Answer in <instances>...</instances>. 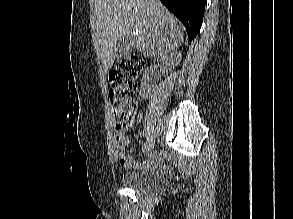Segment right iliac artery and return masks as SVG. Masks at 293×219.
<instances>
[{"label":"right iliac artery","instance_id":"1","mask_svg":"<svg viewBox=\"0 0 293 219\" xmlns=\"http://www.w3.org/2000/svg\"><path fill=\"white\" fill-rule=\"evenodd\" d=\"M152 137L150 135L146 136L145 142H144V146L149 142V140H151Z\"/></svg>","mask_w":293,"mask_h":219}]
</instances>
